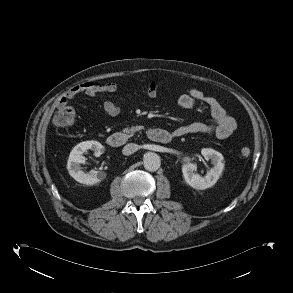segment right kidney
<instances>
[{"instance_id": "ca27d5eb", "label": "right kidney", "mask_w": 293, "mask_h": 293, "mask_svg": "<svg viewBox=\"0 0 293 293\" xmlns=\"http://www.w3.org/2000/svg\"><path fill=\"white\" fill-rule=\"evenodd\" d=\"M92 150L95 156H100L104 152V147L97 141H84L77 144L70 152L67 162V169L71 177L77 182L85 185H95L101 182L106 174L104 172L91 170L87 173L81 170L80 164L86 162V158L82 155L87 150Z\"/></svg>"}]
</instances>
